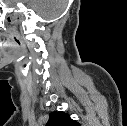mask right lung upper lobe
Segmentation results:
<instances>
[{"instance_id": "right-lung-upper-lobe-1", "label": "right lung upper lobe", "mask_w": 127, "mask_h": 126, "mask_svg": "<svg viewBox=\"0 0 127 126\" xmlns=\"http://www.w3.org/2000/svg\"><path fill=\"white\" fill-rule=\"evenodd\" d=\"M46 126H80L76 121L72 120L69 114L62 111H54L50 114L49 121Z\"/></svg>"}]
</instances>
